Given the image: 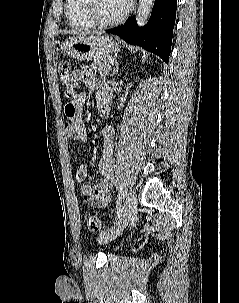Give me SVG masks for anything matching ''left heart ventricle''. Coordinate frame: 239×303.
<instances>
[{"label":"left heart ventricle","mask_w":239,"mask_h":303,"mask_svg":"<svg viewBox=\"0 0 239 303\" xmlns=\"http://www.w3.org/2000/svg\"><path fill=\"white\" fill-rule=\"evenodd\" d=\"M126 8L123 0H98V15L104 20L117 18Z\"/></svg>","instance_id":"1"}]
</instances>
